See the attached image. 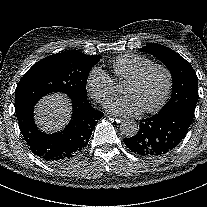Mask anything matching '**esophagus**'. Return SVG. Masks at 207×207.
Here are the masks:
<instances>
[{"mask_svg":"<svg viewBox=\"0 0 207 207\" xmlns=\"http://www.w3.org/2000/svg\"><path fill=\"white\" fill-rule=\"evenodd\" d=\"M108 118L113 122H120V119L114 117V116H108Z\"/></svg>","mask_w":207,"mask_h":207,"instance_id":"obj_1","label":"esophagus"}]
</instances>
